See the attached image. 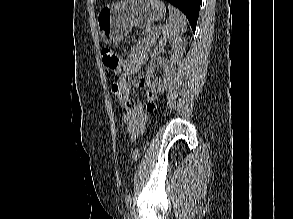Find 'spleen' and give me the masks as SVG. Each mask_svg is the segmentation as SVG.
Here are the masks:
<instances>
[{
  "mask_svg": "<svg viewBox=\"0 0 293 219\" xmlns=\"http://www.w3.org/2000/svg\"><path fill=\"white\" fill-rule=\"evenodd\" d=\"M169 19L162 27V33L165 36L177 38L187 31L186 17L172 5L168 6Z\"/></svg>",
  "mask_w": 293,
  "mask_h": 219,
  "instance_id": "spleen-1",
  "label": "spleen"
}]
</instances>
